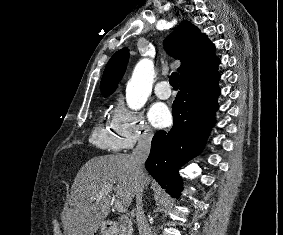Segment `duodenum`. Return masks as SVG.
<instances>
[{
    "label": "duodenum",
    "instance_id": "410a0bca",
    "mask_svg": "<svg viewBox=\"0 0 283 235\" xmlns=\"http://www.w3.org/2000/svg\"><path fill=\"white\" fill-rule=\"evenodd\" d=\"M113 227H116V222L114 221H108L104 224V228H113Z\"/></svg>",
    "mask_w": 283,
    "mask_h": 235
}]
</instances>
